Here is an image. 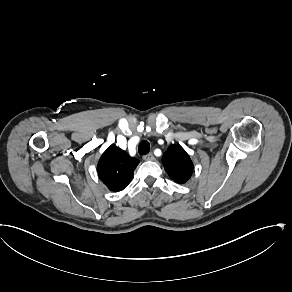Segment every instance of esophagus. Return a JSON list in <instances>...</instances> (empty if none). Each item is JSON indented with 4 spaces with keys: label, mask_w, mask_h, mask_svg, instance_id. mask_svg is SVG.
<instances>
[{
    "label": "esophagus",
    "mask_w": 292,
    "mask_h": 292,
    "mask_svg": "<svg viewBox=\"0 0 292 292\" xmlns=\"http://www.w3.org/2000/svg\"><path fill=\"white\" fill-rule=\"evenodd\" d=\"M142 158H143L144 161H153V160H155V157H154V155L152 153H148V154L144 155Z\"/></svg>",
    "instance_id": "esophagus-1"
}]
</instances>
